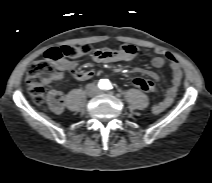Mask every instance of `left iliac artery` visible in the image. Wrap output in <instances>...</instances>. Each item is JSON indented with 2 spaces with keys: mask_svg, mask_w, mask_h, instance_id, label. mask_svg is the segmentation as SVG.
Wrapping results in <instances>:
<instances>
[{
  "mask_svg": "<svg viewBox=\"0 0 212 183\" xmlns=\"http://www.w3.org/2000/svg\"><path fill=\"white\" fill-rule=\"evenodd\" d=\"M106 89H112V85L110 82H107Z\"/></svg>",
  "mask_w": 212,
  "mask_h": 183,
  "instance_id": "44dca946",
  "label": "left iliac artery"
}]
</instances>
